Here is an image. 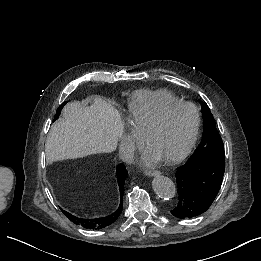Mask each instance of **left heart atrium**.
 I'll list each match as a JSON object with an SVG mask.
<instances>
[{
  "instance_id": "left-heart-atrium-1",
  "label": "left heart atrium",
  "mask_w": 261,
  "mask_h": 261,
  "mask_svg": "<svg viewBox=\"0 0 261 261\" xmlns=\"http://www.w3.org/2000/svg\"><path fill=\"white\" fill-rule=\"evenodd\" d=\"M141 143L143 144L142 141H141ZM144 147H145L144 160H146V161L155 160L157 158V156L152 151H150V149H148L145 145H144Z\"/></svg>"
}]
</instances>
